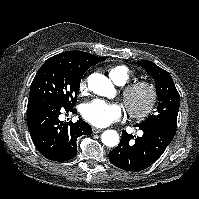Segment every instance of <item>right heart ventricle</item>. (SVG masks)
<instances>
[{"instance_id": "right-heart-ventricle-1", "label": "right heart ventricle", "mask_w": 199, "mask_h": 199, "mask_svg": "<svg viewBox=\"0 0 199 199\" xmlns=\"http://www.w3.org/2000/svg\"><path fill=\"white\" fill-rule=\"evenodd\" d=\"M110 78L117 85L126 84L132 77L131 70L125 65H113L108 68Z\"/></svg>"}]
</instances>
